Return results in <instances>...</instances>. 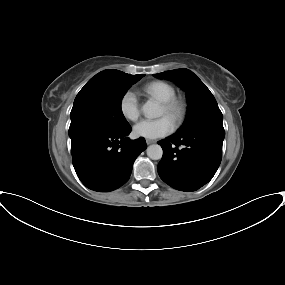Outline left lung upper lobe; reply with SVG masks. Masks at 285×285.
<instances>
[{
	"instance_id": "left-lung-upper-lobe-1",
	"label": "left lung upper lobe",
	"mask_w": 285,
	"mask_h": 285,
	"mask_svg": "<svg viewBox=\"0 0 285 285\" xmlns=\"http://www.w3.org/2000/svg\"><path fill=\"white\" fill-rule=\"evenodd\" d=\"M153 76L171 80L186 91L189 104L187 117L183 126L177 132L178 134H187L207 125L223 128V115L214 96L192 71L177 69L154 74Z\"/></svg>"
}]
</instances>
